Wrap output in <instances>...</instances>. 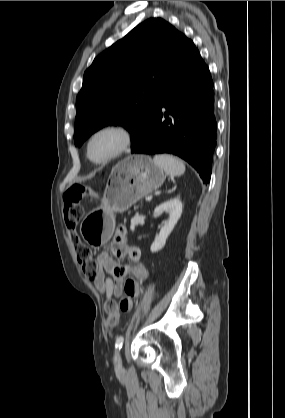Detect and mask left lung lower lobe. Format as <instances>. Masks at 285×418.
Returning <instances> with one entry per match:
<instances>
[{
    "mask_svg": "<svg viewBox=\"0 0 285 418\" xmlns=\"http://www.w3.org/2000/svg\"><path fill=\"white\" fill-rule=\"evenodd\" d=\"M216 129L215 96L209 68L194 43L184 37L148 127L131 152L177 155L190 163L204 183H208Z\"/></svg>",
    "mask_w": 285,
    "mask_h": 418,
    "instance_id": "1",
    "label": "left lung lower lobe"
}]
</instances>
